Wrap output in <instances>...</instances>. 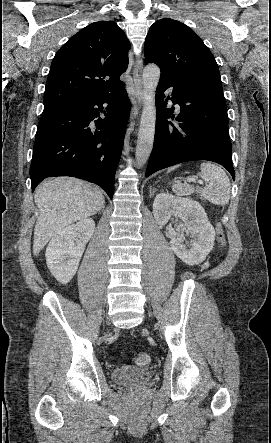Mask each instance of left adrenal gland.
I'll return each instance as SVG.
<instances>
[{
    "mask_svg": "<svg viewBox=\"0 0 271 443\" xmlns=\"http://www.w3.org/2000/svg\"><path fill=\"white\" fill-rule=\"evenodd\" d=\"M155 190H157V188H151V190H150V198H153Z\"/></svg>",
    "mask_w": 271,
    "mask_h": 443,
    "instance_id": "left-adrenal-gland-1",
    "label": "left adrenal gland"
}]
</instances>
